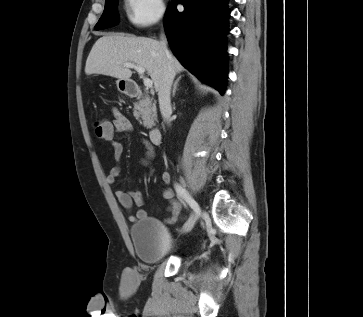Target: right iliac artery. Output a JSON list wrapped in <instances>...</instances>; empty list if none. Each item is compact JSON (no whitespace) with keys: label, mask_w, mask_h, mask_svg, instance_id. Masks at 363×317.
Listing matches in <instances>:
<instances>
[{"label":"right iliac artery","mask_w":363,"mask_h":317,"mask_svg":"<svg viewBox=\"0 0 363 317\" xmlns=\"http://www.w3.org/2000/svg\"><path fill=\"white\" fill-rule=\"evenodd\" d=\"M176 191L178 193V195L184 199L188 204L189 206L197 213L199 214L200 210H199V206L198 204L196 203V201L194 199H192L190 197V195L187 193V191L182 187L180 186L179 184L176 185Z\"/></svg>","instance_id":"obj_1"}]
</instances>
